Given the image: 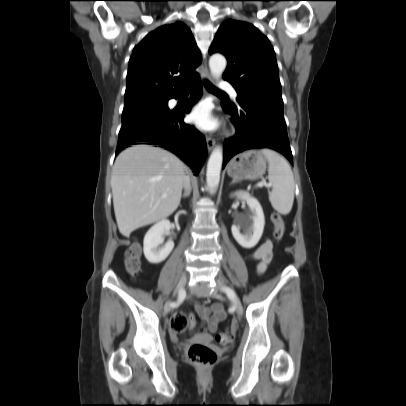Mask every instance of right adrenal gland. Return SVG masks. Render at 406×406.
Masks as SVG:
<instances>
[{
	"label": "right adrenal gland",
	"instance_id": "1",
	"mask_svg": "<svg viewBox=\"0 0 406 406\" xmlns=\"http://www.w3.org/2000/svg\"><path fill=\"white\" fill-rule=\"evenodd\" d=\"M190 192H191V190L185 192V193L182 195V198H187V197H189V196H190Z\"/></svg>",
	"mask_w": 406,
	"mask_h": 406
}]
</instances>
